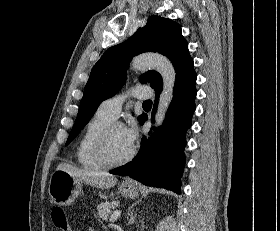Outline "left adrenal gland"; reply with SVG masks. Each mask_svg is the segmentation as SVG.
Listing matches in <instances>:
<instances>
[{"instance_id":"obj_1","label":"left adrenal gland","mask_w":280,"mask_h":231,"mask_svg":"<svg viewBox=\"0 0 280 231\" xmlns=\"http://www.w3.org/2000/svg\"><path fill=\"white\" fill-rule=\"evenodd\" d=\"M136 215H137V213H133V211H131L130 219H129L130 223H134V221L136 219Z\"/></svg>"}]
</instances>
